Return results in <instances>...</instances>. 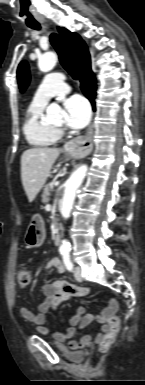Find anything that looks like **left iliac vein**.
<instances>
[{
	"mask_svg": "<svg viewBox=\"0 0 145 385\" xmlns=\"http://www.w3.org/2000/svg\"><path fill=\"white\" fill-rule=\"evenodd\" d=\"M74 277L79 282H81L83 280L81 267H79V266L75 267V269H74Z\"/></svg>",
	"mask_w": 145,
	"mask_h": 385,
	"instance_id": "obj_1",
	"label": "left iliac vein"
}]
</instances>
